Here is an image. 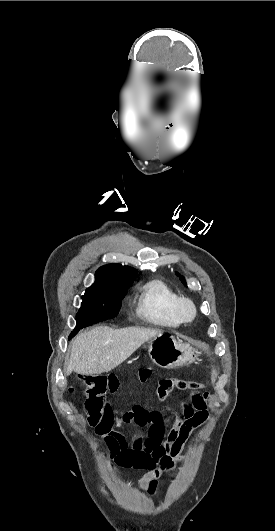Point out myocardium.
Wrapping results in <instances>:
<instances>
[{
	"label": "myocardium",
	"mask_w": 275,
	"mask_h": 531,
	"mask_svg": "<svg viewBox=\"0 0 275 531\" xmlns=\"http://www.w3.org/2000/svg\"><path fill=\"white\" fill-rule=\"evenodd\" d=\"M187 304L191 308V315L186 316L182 312V306ZM172 311L176 319L181 323H189L195 320L197 317V306L194 300L188 296H177L172 304Z\"/></svg>",
	"instance_id": "1"
}]
</instances>
